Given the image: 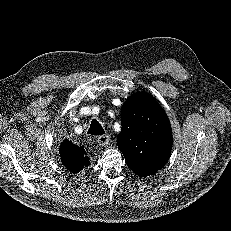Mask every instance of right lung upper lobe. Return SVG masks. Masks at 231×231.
Here are the masks:
<instances>
[{
    "instance_id": "1",
    "label": "right lung upper lobe",
    "mask_w": 231,
    "mask_h": 231,
    "mask_svg": "<svg viewBox=\"0 0 231 231\" xmlns=\"http://www.w3.org/2000/svg\"><path fill=\"white\" fill-rule=\"evenodd\" d=\"M62 163L73 173H78L84 166L89 165V159L86 152H72L62 147L59 149Z\"/></svg>"
}]
</instances>
